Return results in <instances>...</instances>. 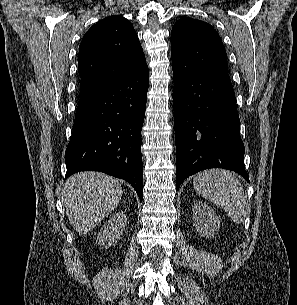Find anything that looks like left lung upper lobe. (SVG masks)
I'll return each mask as SVG.
<instances>
[{"mask_svg":"<svg viewBox=\"0 0 297 305\" xmlns=\"http://www.w3.org/2000/svg\"><path fill=\"white\" fill-rule=\"evenodd\" d=\"M172 62L193 75L228 74L227 54L217 31L208 23L182 17L171 31Z\"/></svg>","mask_w":297,"mask_h":305,"instance_id":"obj_1","label":"left lung upper lobe"}]
</instances>
